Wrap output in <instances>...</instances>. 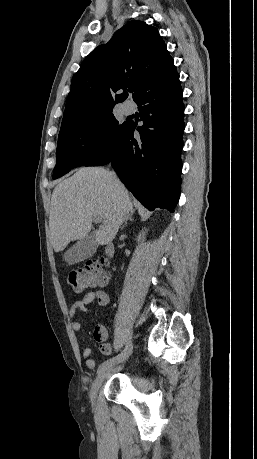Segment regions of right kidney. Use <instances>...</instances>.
Returning a JSON list of instances; mask_svg holds the SVG:
<instances>
[{"label":"right kidney","instance_id":"1","mask_svg":"<svg viewBox=\"0 0 257 459\" xmlns=\"http://www.w3.org/2000/svg\"><path fill=\"white\" fill-rule=\"evenodd\" d=\"M146 232L147 230L145 229L144 231H142L138 237H137V241L139 242L140 240L144 239L145 238V235H146Z\"/></svg>","mask_w":257,"mask_h":459}]
</instances>
